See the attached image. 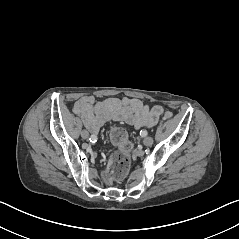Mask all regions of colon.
<instances>
[{"label": "colon", "instance_id": "1", "mask_svg": "<svg viewBox=\"0 0 239 239\" xmlns=\"http://www.w3.org/2000/svg\"><path fill=\"white\" fill-rule=\"evenodd\" d=\"M172 116L171 111H165V119H170ZM109 137L111 142L118 147V151L109 160L105 178L107 180H116L125 176L130 168L132 144L129 141L127 131L120 126L111 127Z\"/></svg>", "mask_w": 239, "mask_h": 239}]
</instances>
